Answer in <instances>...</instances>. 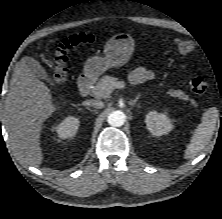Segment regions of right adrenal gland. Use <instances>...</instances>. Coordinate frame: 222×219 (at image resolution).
I'll list each match as a JSON object with an SVG mask.
<instances>
[{
	"mask_svg": "<svg viewBox=\"0 0 222 219\" xmlns=\"http://www.w3.org/2000/svg\"><path fill=\"white\" fill-rule=\"evenodd\" d=\"M88 110L93 111L92 109H90L89 107H87Z\"/></svg>",
	"mask_w": 222,
	"mask_h": 219,
	"instance_id": "2a0ac1e0",
	"label": "right adrenal gland"
}]
</instances>
